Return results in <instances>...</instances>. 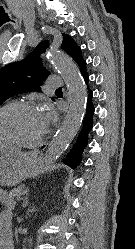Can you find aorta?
Returning <instances> with one entry per match:
<instances>
[{
    "label": "aorta",
    "mask_w": 135,
    "mask_h": 249,
    "mask_svg": "<svg viewBox=\"0 0 135 249\" xmlns=\"http://www.w3.org/2000/svg\"><path fill=\"white\" fill-rule=\"evenodd\" d=\"M49 57L67 84L69 110L61 127L48 145L44 159L46 165L55 162L72 142L81 126L87 100L86 86L75 63L56 48L50 50Z\"/></svg>",
    "instance_id": "aorta-1"
}]
</instances>
